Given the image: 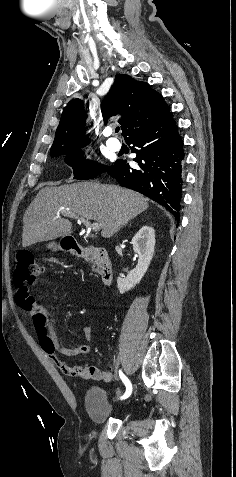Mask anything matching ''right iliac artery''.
Returning a JSON list of instances; mask_svg holds the SVG:
<instances>
[{"instance_id": "obj_1", "label": "right iliac artery", "mask_w": 236, "mask_h": 477, "mask_svg": "<svg viewBox=\"0 0 236 477\" xmlns=\"http://www.w3.org/2000/svg\"><path fill=\"white\" fill-rule=\"evenodd\" d=\"M119 376L122 380V382L125 384L126 386V392L125 394L119 399V403L122 401H124L125 399H130V395H131V392H132V384L131 382L129 381V379L123 374V372L121 370H119ZM125 398V399H124Z\"/></svg>"}]
</instances>
